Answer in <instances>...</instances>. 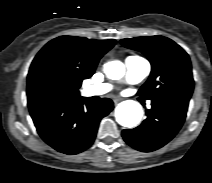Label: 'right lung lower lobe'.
<instances>
[{
  "instance_id": "right-lung-lower-lobe-1",
  "label": "right lung lower lobe",
  "mask_w": 212,
  "mask_h": 183,
  "mask_svg": "<svg viewBox=\"0 0 212 183\" xmlns=\"http://www.w3.org/2000/svg\"><path fill=\"white\" fill-rule=\"evenodd\" d=\"M113 109V102L103 98L91 103L86 98L53 97L29 107L41 138L59 152L73 155L90 147L101 119Z\"/></svg>"
}]
</instances>
